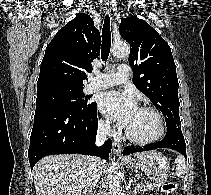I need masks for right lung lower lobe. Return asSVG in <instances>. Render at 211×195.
<instances>
[{"label":"right lung lower lobe","instance_id":"obj_1","mask_svg":"<svg viewBox=\"0 0 211 195\" xmlns=\"http://www.w3.org/2000/svg\"><path fill=\"white\" fill-rule=\"evenodd\" d=\"M97 104L85 110L40 107L35 111L28 157L31 169L52 154L97 155L108 160L112 141L94 144L97 134Z\"/></svg>","mask_w":211,"mask_h":195}]
</instances>
